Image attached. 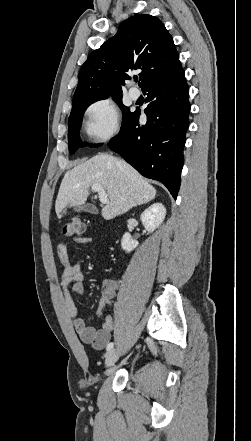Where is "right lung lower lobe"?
Returning <instances> with one entry per match:
<instances>
[{"label":"right lung lower lobe","instance_id":"1","mask_svg":"<svg viewBox=\"0 0 251 441\" xmlns=\"http://www.w3.org/2000/svg\"><path fill=\"white\" fill-rule=\"evenodd\" d=\"M142 91L148 92L147 123H139L136 110L108 145L143 176L162 182L176 199L190 112L184 70L180 65L150 81Z\"/></svg>","mask_w":251,"mask_h":441}]
</instances>
